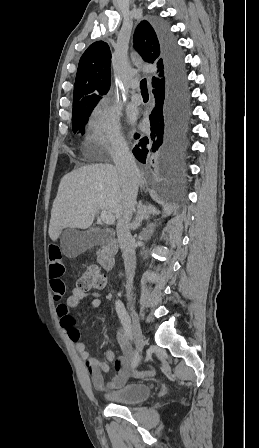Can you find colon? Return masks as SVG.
<instances>
[{
	"label": "colon",
	"mask_w": 259,
	"mask_h": 448,
	"mask_svg": "<svg viewBox=\"0 0 259 448\" xmlns=\"http://www.w3.org/2000/svg\"><path fill=\"white\" fill-rule=\"evenodd\" d=\"M105 285V277L93 267L86 268L77 282V288L84 293L98 292L104 289Z\"/></svg>",
	"instance_id": "colon-1"
}]
</instances>
